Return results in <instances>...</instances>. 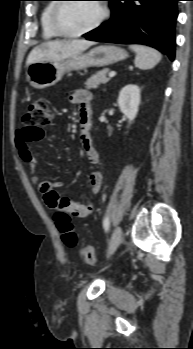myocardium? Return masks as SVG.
Returning a JSON list of instances; mask_svg holds the SVG:
<instances>
[{
    "mask_svg": "<svg viewBox=\"0 0 193 349\" xmlns=\"http://www.w3.org/2000/svg\"><path fill=\"white\" fill-rule=\"evenodd\" d=\"M61 2H57L54 4L52 11H51V15H50V24L52 29L54 30V32L61 37H65V38H78L81 36H84L94 30H96L97 28H99L108 18L109 15V10L108 7L106 5L105 2H101L100 0H96V1H100V2H96L100 9H101V13L100 16L98 17V19L88 28L78 31V32H68L65 31L60 23H59V13L61 11V9L63 8V6L65 4H67L68 2H66L67 0H59Z\"/></svg>",
    "mask_w": 193,
    "mask_h": 349,
    "instance_id": "f54148a6",
    "label": "myocardium"
}]
</instances>
